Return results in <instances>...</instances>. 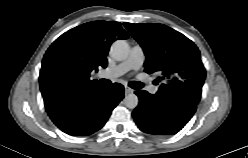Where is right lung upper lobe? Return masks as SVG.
I'll use <instances>...</instances> for the list:
<instances>
[{
  "mask_svg": "<svg viewBox=\"0 0 248 158\" xmlns=\"http://www.w3.org/2000/svg\"><path fill=\"white\" fill-rule=\"evenodd\" d=\"M116 38L127 39L128 33L114 21L88 22L57 38L44 55L39 76L44 104L99 85L90 80V74L98 66L106 67V56Z\"/></svg>",
  "mask_w": 248,
  "mask_h": 158,
  "instance_id": "obj_1",
  "label": "right lung upper lobe"
}]
</instances>
